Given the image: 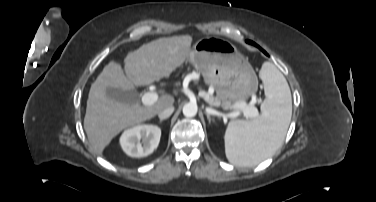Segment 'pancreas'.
I'll use <instances>...</instances> for the list:
<instances>
[{
  "mask_svg": "<svg viewBox=\"0 0 376 202\" xmlns=\"http://www.w3.org/2000/svg\"><path fill=\"white\" fill-rule=\"evenodd\" d=\"M201 96L204 98V100H206L207 102H209L210 105L214 106V107H218L220 105V100L218 98H213L212 96H210L209 94L205 93V92H201ZM244 103V101H239L237 102L236 104V108L240 111H242L244 114H247V106H242V104Z\"/></svg>",
  "mask_w": 376,
  "mask_h": 202,
  "instance_id": "obj_1",
  "label": "pancreas"
}]
</instances>
